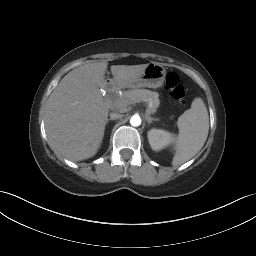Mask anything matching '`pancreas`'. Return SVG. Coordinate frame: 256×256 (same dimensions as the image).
<instances>
[{
	"label": "pancreas",
	"instance_id": "obj_1",
	"mask_svg": "<svg viewBox=\"0 0 256 256\" xmlns=\"http://www.w3.org/2000/svg\"><path fill=\"white\" fill-rule=\"evenodd\" d=\"M140 102H145L150 112L155 113L160 105L159 94L146 89H134L123 92L122 96L117 98V103L121 107Z\"/></svg>",
	"mask_w": 256,
	"mask_h": 256
}]
</instances>
